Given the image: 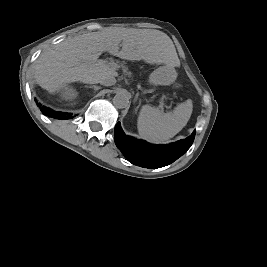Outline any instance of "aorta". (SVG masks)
<instances>
[{"mask_svg":"<svg viewBox=\"0 0 267 267\" xmlns=\"http://www.w3.org/2000/svg\"><path fill=\"white\" fill-rule=\"evenodd\" d=\"M129 103V96L127 92L120 91L113 98V104L116 108H126Z\"/></svg>","mask_w":267,"mask_h":267,"instance_id":"762f6f07","label":"aorta"}]
</instances>
